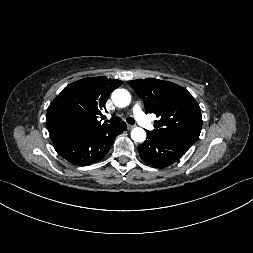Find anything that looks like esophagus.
Wrapping results in <instances>:
<instances>
[{"label": "esophagus", "mask_w": 253, "mask_h": 253, "mask_svg": "<svg viewBox=\"0 0 253 253\" xmlns=\"http://www.w3.org/2000/svg\"><path fill=\"white\" fill-rule=\"evenodd\" d=\"M134 127H135L134 125L127 124V129H128V130L133 129Z\"/></svg>", "instance_id": "esophagus-1"}]
</instances>
